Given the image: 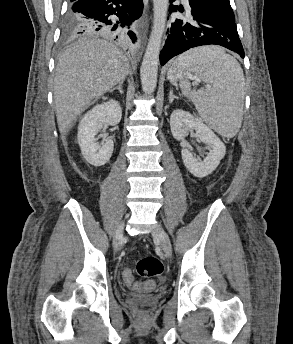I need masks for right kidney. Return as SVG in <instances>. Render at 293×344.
<instances>
[{"instance_id":"right-kidney-1","label":"right kidney","mask_w":293,"mask_h":344,"mask_svg":"<svg viewBox=\"0 0 293 344\" xmlns=\"http://www.w3.org/2000/svg\"><path fill=\"white\" fill-rule=\"evenodd\" d=\"M122 116L121 106L116 100L97 104L81 119L78 126L77 141L84 159L91 165L99 167L109 161L114 144L105 137L101 143L95 136L106 125L119 124Z\"/></svg>"}]
</instances>
